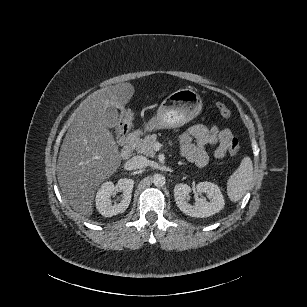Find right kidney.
Masks as SVG:
<instances>
[{
  "label": "right kidney",
  "instance_id": "right-kidney-1",
  "mask_svg": "<svg viewBox=\"0 0 307 307\" xmlns=\"http://www.w3.org/2000/svg\"><path fill=\"white\" fill-rule=\"evenodd\" d=\"M133 185L132 179H120L118 186L123 191V198L120 203L112 205L110 197L115 191V186L112 182L103 183L96 195V208L99 213L105 217L123 213L130 204Z\"/></svg>",
  "mask_w": 307,
  "mask_h": 307
}]
</instances>
